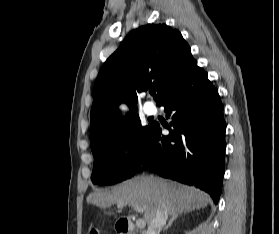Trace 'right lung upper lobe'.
I'll use <instances>...</instances> for the list:
<instances>
[{"instance_id": "cb5924a9", "label": "right lung upper lobe", "mask_w": 279, "mask_h": 234, "mask_svg": "<svg viewBox=\"0 0 279 234\" xmlns=\"http://www.w3.org/2000/svg\"><path fill=\"white\" fill-rule=\"evenodd\" d=\"M196 64L191 49L177 29L147 24L131 31L102 66L94 86L91 145L120 128L137 112V92L155 86L158 104ZM130 107L122 117L120 103Z\"/></svg>"}]
</instances>
